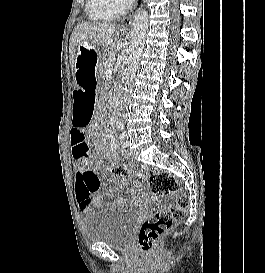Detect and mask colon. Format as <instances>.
<instances>
[{"instance_id": "obj_1", "label": "colon", "mask_w": 265, "mask_h": 273, "mask_svg": "<svg viewBox=\"0 0 265 273\" xmlns=\"http://www.w3.org/2000/svg\"><path fill=\"white\" fill-rule=\"evenodd\" d=\"M111 171L117 176H124L129 170L123 166H112ZM147 178L151 192L158 197L173 196L171 203L152 217L145 220L138 234V246L144 251L150 250L158 240L170 229L173 222L184 217L188 206V198L178 194L179 183L176 178L165 171L144 169L139 173Z\"/></svg>"}]
</instances>
